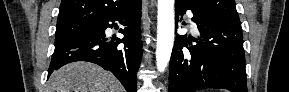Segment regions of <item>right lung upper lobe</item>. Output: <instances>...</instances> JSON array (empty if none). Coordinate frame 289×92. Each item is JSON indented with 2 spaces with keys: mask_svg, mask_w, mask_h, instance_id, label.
<instances>
[{
  "mask_svg": "<svg viewBox=\"0 0 289 92\" xmlns=\"http://www.w3.org/2000/svg\"><path fill=\"white\" fill-rule=\"evenodd\" d=\"M137 0H62L58 24L96 22L128 9Z\"/></svg>",
  "mask_w": 289,
  "mask_h": 92,
  "instance_id": "right-lung-upper-lobe-1",
  "label": "right lung upper lobe"
}]
</instances>
